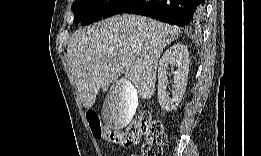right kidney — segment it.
I'll return each instance as SVG.
<instances>
[{"label": "right kidney", "mask_w": 261, "mask_h": 156, "mask_svg": "<svg viewBox=\"0 0 261 156\" xmlns=\"http://www.w3.org/2000/svg\"><path fill=\"white\" fill-rule=\"evenodd\" d=\"M176 67L173 71L174 87L172 96L167 92V71L169 66ZM189 72V52L187 46L175 44L168 48L160 59L158 67V101L164 111L174 110L183 98ZM121 81L117 84V87Z\"/></svg>", "instance_id": "ca27d5eb"}]
</instances>
